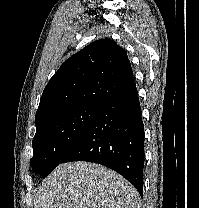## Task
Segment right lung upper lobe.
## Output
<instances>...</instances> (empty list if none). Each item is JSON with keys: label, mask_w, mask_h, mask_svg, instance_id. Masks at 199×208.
<instances>
[{"label": "right lung upper lobe", "mask_w": 199, "mask_h": 208, "mask_svg": "<svg viewBox=\"0 0 199 208\" xmlns=\"http://www.w3.org/2000/svg\"><path fill=\"white\" fill-rule=\"evenodd\" d=\"M133 84L125 50L111 39L97 40L66 60L50 79L35 124L69 109L100 106Z\"/></svg>", "instance_id": "cb5924a9"}]
</instances>
